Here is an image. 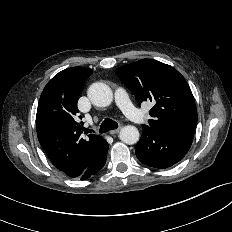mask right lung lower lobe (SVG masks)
Masks as SVG:
<instances>
[{"label": "right lung lower lobe", "mask_w": 232, "mask_h": 232, "mask_svg": "<svg viewBox=\"0 0 232 232\" xmlns=\"http://www.w3.org/2000/svg\"><path fill=\"white\" fill-rule=\"evenodd\" d=\"M108 143L102 150L101 154L95 159V161L86 168V170L79 176L81 180L89 178L91 175L96 174L106 163Z\"/></svg>", "instance_id": "obj_1"}]
</instances>
